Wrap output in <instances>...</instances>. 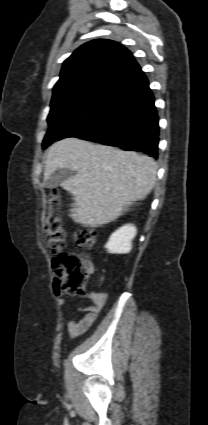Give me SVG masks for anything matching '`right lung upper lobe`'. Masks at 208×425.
I'll use <instances>...</instances> for the list:
<instances>
[{"label": "right lung upper lobe", "instance_id": "cb5924a9", "mask_svg": "<svg viewBox=\"0 0 208 425\" xmlns=\"http://www.w3.org/2000/svg\"><path fill=\"white\" fill-rule=\"evenodd\" d=\"M134 64L131 52L115 41L87 42L64 61L52 101L82 90L103 91Z\"/></svg>", "mask_w": 208, "mask_h": 425}]
</instances>
